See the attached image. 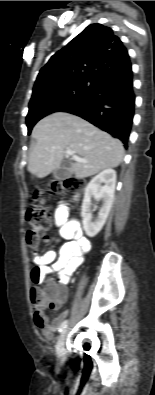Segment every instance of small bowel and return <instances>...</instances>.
Masks as SVG:
<instances>
[{
    "mask_svg": "<svg viewBox=\"0 0 155 395\" xmlns=\"http://www.w3.org/2000/svg\"><path fill=\"white\" fill-rule=\"evenodd\" d=\"M68 216V208L62 203L59 204L55 210L54 220L59 228V238L64 240V243L57 252L50 250L38 259L39 254H42V244L36 242L31 247V259L35 260V263L29 268L30 281H43L45 276H57L58 282L64 286L82 264L84 254L90 249V241L83 235L78 222L69 220ZM66 297L67 292L62 289L61 297L33 308L34 324L41 335L48 340L52 339L53 332L61 325L65 313L49 322L44 309L47 306L60 307Z\"/></svg>",
    "mask_w": 155,
    "mask_h": 395,
    "instance_id": "c3829d8e",
    "label": "small bowel"
}]
</instances>
